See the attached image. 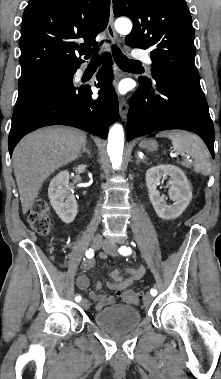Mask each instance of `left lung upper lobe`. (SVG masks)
Masks as SVG:
<instances>
[{
  "instance_id": "obj_1",
  "label": "left lung upper lobe",
  "mask_w": 221,
  "mask_h": 379,
  "mask_svg": "<svg viewBox=\"0 0 221 379\" xmlns=\"http://www.w3.org/2000/svg\"><path fill=\"white\" fill-rule=\"evenodd\" d=\"M113 11L133 21L126 45L152 50L151 70L199 79L194 64L195 31L185 0H113Z\"/></svg>"
}]
</instances>
